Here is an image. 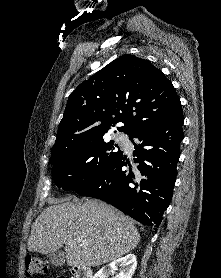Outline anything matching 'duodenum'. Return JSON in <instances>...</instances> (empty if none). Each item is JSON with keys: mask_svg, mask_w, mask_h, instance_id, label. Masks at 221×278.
I'll list each match as a JSON object with an SVG mask.
<instances>
[{"mask_svg": "<svg viewBox=\"0 0 221 278\" xmlns=\"http://www.w3.org/2000/svg\"><path fill=\"white\" fill-rule=\"evenodd\" d=\"M74 278H93L89 268L81 265H76L72 269Z\"/></svg>", "mask_w": 221, "mask_h": 278, "instance_id": "1", "label": "duodenum"}]
</instances>
